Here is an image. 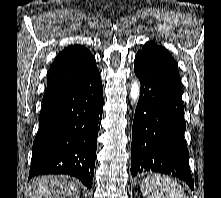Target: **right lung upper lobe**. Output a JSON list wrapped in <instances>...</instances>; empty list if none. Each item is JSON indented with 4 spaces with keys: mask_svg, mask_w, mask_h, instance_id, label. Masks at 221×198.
<instances>
[{
    "mask_svg": "<svg viewBox=\"0 0 221 198\" xmlns=\"http://www.w3.org/2000/svg\"><path fill=\"white\" fill-rule=\"evenodd\" d=\"M97 70L95 58L87 48L68 46L51 65L43 101L73 88Z\"/></svg>",
    "mask_w": 221,
    "mask_h": 198,
    "instance_id": "right-lung-upper-lobe-1",
    "label": "right lung upper lobe"
}]
</instances>
